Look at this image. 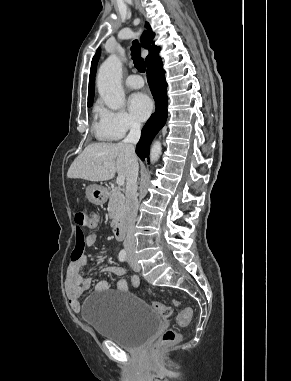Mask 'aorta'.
I'll use <instances>...</instances> for the list:
<instances>
[{"label": "aorta", "instance_id": "obj_1", "mask_svg": "<svg viewBox=\"0 0 291 381\" xmlns=\"http://www.w3.org/2000/svg\"><path fill=\"white\" fill-rule=\"evenodd\" d=\"M122 63L116 55H110L100 66L97 76L98 92L106 106L118 110L125 103V94L121 86ZM161 143L155 141L150 150V160L155 163L161 154Z\"/></svg>", "mask_w": 291, "mask_h": 381}]
</instances>
